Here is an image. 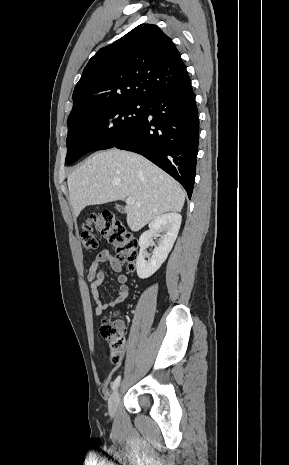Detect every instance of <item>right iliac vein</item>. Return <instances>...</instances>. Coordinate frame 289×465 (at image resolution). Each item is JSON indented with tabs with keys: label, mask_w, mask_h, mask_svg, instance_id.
Wrapping results in <instances>:
<instances>
[{
	"label": "right iliac vein",
	"mask_w": 289,
	"mask_h": 465,
	"mask_svg": "<svg viewBox=\"0 0 289 465\" xmlns=\"http://www.w3.org/2000/svg\"><path fill=\"white\" fill-rule=\"evenodd\" d=\"M119 400H120V393L117 388L113 391V393L111 394L109 398L108 408H109V414L111 417H114L116 414Z\"/></svg>",
	"instance_id": "1"
}]
</instances>
